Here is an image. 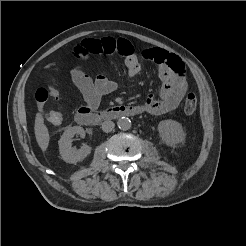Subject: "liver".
I'll use <instances>...</instances> for the list:
<instances>
[{
	"mask_svg": "<svg viewBox=\"0 0 246 246\" xmlns=\"http://www.w3.org/2000/svg\"><path fill=\"white\" fill-rule=\"evenodd\" d=\"M34 133L38 146L42 151H46L49 146L50 135L48 128L44 124V118L40 113H37L35 117Z\"/></svg>",
	"mask_w": 246,
	"mask_h": 246,
	"instance_id": "obj_1",
	"label": "liver"
}]
</instances>
